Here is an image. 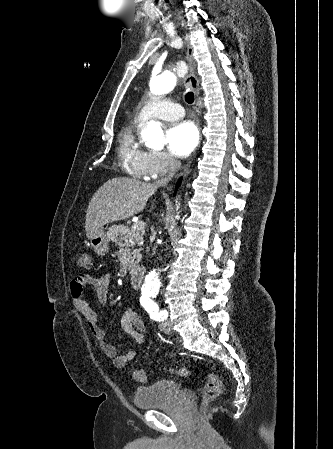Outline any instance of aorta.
Masks as SVG:
<instances>
[{"mask_svg": "<svg viewBox=\"0 0 333 449\" xmlns=\"http://www.w3.org/2000/svg\"><path fill=\"white\" fill-rule=\"evenodd\" d=\"M176 74L165 71L161 74L152 73V77L150 80V91L155 95H164L169 93L175 86ZM141 137L145 141L146 145L161 150L164 147L165 139L163 130L159 123L155 121H151L148 125L142 130ZM181 196L176 197V202L181 200ZM178 209V206H177ZM170 235V230H164L160 236L161 240L168 238ZM160 288V279L159 274L156 271H151L145 278V282L143 288L141 290L142 295H153L158 292Z\"/></svg>", "mask_w": 333, "mask_h": 449, "instance_id": "obj_1", "label": "aorta"}]
</instances>
